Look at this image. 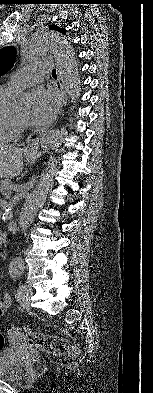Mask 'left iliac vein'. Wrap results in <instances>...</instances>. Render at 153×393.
<instances>
[{
    "label": "left iliac vein",
    "instance_id": "1",
    "mask_svg": "<svg viewBox=\"0 0 153 393\" xmlns=\"http://www.w3.org/2000/svg\"><path fill=\"white\" fill-rule=\"evenodd\" d=\"M32 295V288L31 286H26L25 289L22 292V302L23 306L29 307L30 306V296Z\"/></svg>",
    "mask_w": 153,
    "mask_h": 393
}]
</instances>
